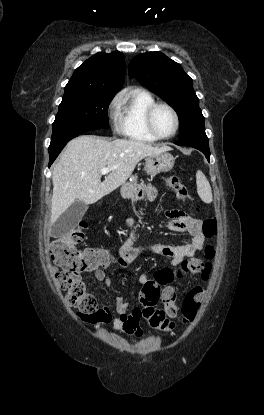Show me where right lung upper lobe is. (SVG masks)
Here are the masks:
<instances>
[{
  "mask_svg": "<svg viewBox=\"0 0 264 415\" xmlns=\"http://www.w3.org/2000/svg\"><path fill=\"white\" fill-rule=\"evenodd\" d=\"M125 76V60L121 52H99L87 59L73 73L65 87L64 96L115 95Z\"/></svg>",
  "mask_w": 264,
  "mask_h": 415,
  "instance_id": "right-lung-upper-lobe-1",
  "label": "right lung upper lobe"
}]
</instances>
